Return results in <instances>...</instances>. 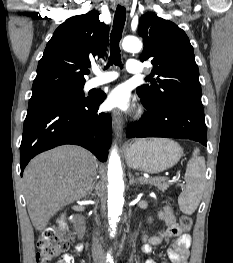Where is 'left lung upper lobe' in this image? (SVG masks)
<instances>
[{
  "label": "left lung upper lobe",
  "instance_id": "obj_1",
  "mask_svg": "<svg viewBox=\"0 0 233 263\" xmlns=\"http://www.w3.org/2000/svg\"><path fill=\"white\" fill-rule=\"evenodd\" d=\"M138 33L144 43L140 60H150L154 66L151 74L157 75L154 85L137 88L146 106L156 110L176 100L201 102L199 70L186 33L154 13L140 18Z\"/></svg>",
  "mask_w": 233,
  "mask_h": 263
}]
</instances>
